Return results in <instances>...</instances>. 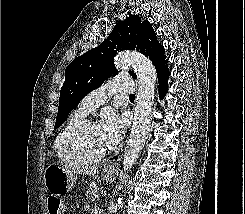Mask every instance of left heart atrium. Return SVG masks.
<instances>
[{"instance_id": "1", "label": "left heart atrium", "mask_w": 245, "mask_h": 214, "mask_svg": "<svg viewBox=\"0 0 245 214\" xmlns=\"http://www.w3.org/2000/svg\"><path fill=\"white\" fill-rule=\"evenodd\" d=\"M98 129L108 149L119 143L125 131L123 121L114 114L106 115L99 123Z\"/></svg>"}]
</instances>
